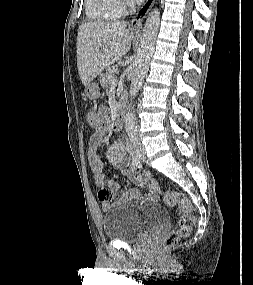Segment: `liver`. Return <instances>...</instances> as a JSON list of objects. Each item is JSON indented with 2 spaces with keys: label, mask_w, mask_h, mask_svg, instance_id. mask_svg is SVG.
<instances>
[{
  "label": "liver",
  "mask_w": 253,
  "mask_h": 285,
  "mask_svg": "<svg viewBox=\"0 0 253 285\" xmlns=\"http://www.w3.org/2000/svg\"><path fill=\"white\" fill-rule=\"evenodd\" d=\"M132 34L124 21L87 22L80 25L77 37V67L83 85L87 86L104 69L125 55Z\"/></svg>",
  "instance_id": "6515ba94"
}]
</instances>
